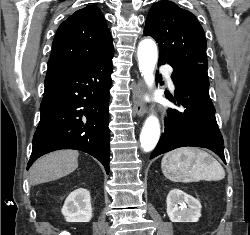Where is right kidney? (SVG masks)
I'll use <instances>...</instances> for the list:
<instances>
[{
  "instance_id": "ca27d5eb",
  "label": "right kidney",
  "mask_w": 250,
  "mask_h": 235,
  "mask_svg": "<svg viewBox=\"0 0 250 235\" xmlns=\"http://www.w3.org/2000/svg\"><path fill=\"white\" fill-rule=\"evenodd\" d=\"M62 214L67 222H89L92 218L90 192L79 188L66 198Z\"/></svg>"
}]
</instances>
